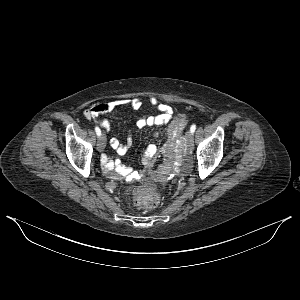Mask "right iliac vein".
Here are the masks:
<instances>
[{
	"label": "right iliac vein",
	"instance_id": "1",
	"mask_svg": "<svg viewBox=\"0 0 300 300\" xmlns=\"http://www.w3.org/2000/svg\"><path fill=\"white\" fill-rule=\"evenodd\" d=\"M105 145H106V136L103 134L99 139H98V142H97V150L99 152H102L105 148Z\"/></svg>",
	"mask_w": 300,
	"mask_h": 300
}]
</instances>
